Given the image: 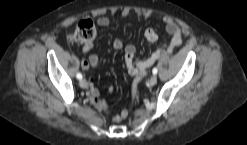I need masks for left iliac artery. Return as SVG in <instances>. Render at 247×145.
Returning <instances> with one entry per match:
<instances>
[{"mask_svg":"<svg viewBox=\"0 0 247 145\" xmlns=\"http://www.w3.org/2000/svg\"><path fill=\"white\" fill-rule=\"evenodd\" d=\"M157 72H158L157 68H153L152 73H153L154 75H156Z\"/></svg>","mask_w":247,"mask_h":145,"instance_id":"1","label":"left iliac artery"}]
</instances>
